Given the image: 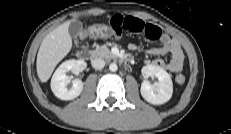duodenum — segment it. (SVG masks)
I'll return each mask as SVG.
<instances>
[{"instance_id":"1","label":"duodenum","mask_w":231,"mask_h":134,"mask_svg":"<svg viewBox=\"0 0 231 134\" xmlns=\"http://www.w3.org/2000/svg\"><path fill=\"white\" fill-rule=\"evenodd\" d=\"M77 56L81 60H88L91 58V53L86 50V49H81L77 52ZM125 62H130L131 58L130 57H123L122 58Z\"/></svg>"}]
</instances>
